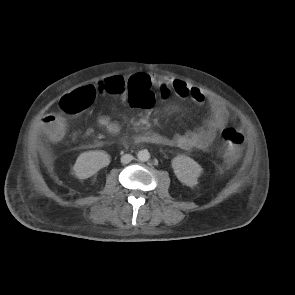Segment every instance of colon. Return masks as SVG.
I'll return each mask as SVG.
<instances>
[{
    "label": "colon",
    "mask_w": 295,
    "mask_h": 295,
    "mask_svg": "<svg viewBox=\"0 0 295 295\" xmlns=\"http://www.w3.org/2000/svg\"><path fill=\"white\" fill-rule=\"evenodd\" d=\"M126 91L127 102L134 110H150L155 106L157 97L152 93V87H127L125 81L120 78H113L100 82L97 86L88 85L74 90L65 95L59 104V113L54 114L51 123L46 128V135L53 141L63 138L66 132V117L76 115L89 107L98 94L122 95ZM165 96L168 94L165 92ZM224 145L223 155L229 160L236 159L244 144L243 134L235 128H226L222 132Z\"/></svg>",
    "instance_id": "colon-1"
}]
</instances>
